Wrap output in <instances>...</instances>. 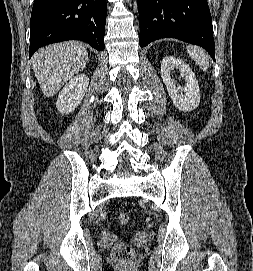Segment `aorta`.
<instances>
[{"mask_svg": "<svg viewBox=\"0 0 253 271\" xmlns=\"http://www.w3.org/2000/svg\"><path fill=\"white\" fill-rule=\"evenodd\" d=\"M126 2L130 4L131 0H126Z\"/></svg>", "mask_w": 253, "mask_h": 271, "instance_id": "obj_1", "label": "aorta"}]
</instances>
